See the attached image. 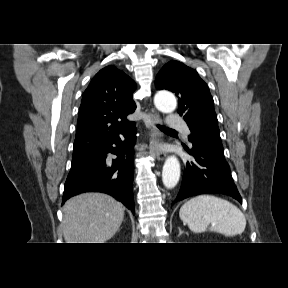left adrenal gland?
<instances>
[{"mask_svg":"<svg viewBox=\"0 0 288 288\" xmlns=\"http://www.w3.org/2000/svg\"><path fill=\"white\" fill-rule=\"evenodd\" d=\"M178 229H179V235H181L183 233V231L180 228H178Z\"/></svg>","mask_w":288,"mask_h":288,"instance_id":"left-adrenal-gland-1","label":"left adrenal gland"}]
</instances>
